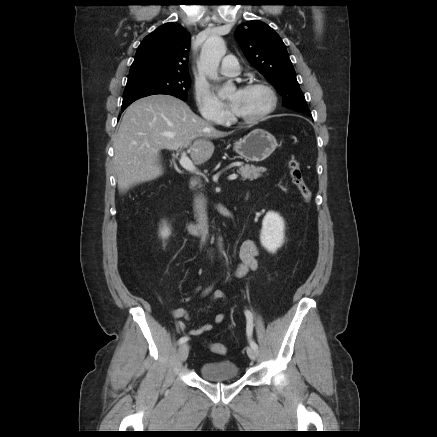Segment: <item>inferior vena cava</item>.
<instances>
[{
  "mask_svg": "<svg viewBox=\"0 0 437 437\" xmlns=\"http://www.w3.org/2000/svg\"><path fill=\"white\" fill-rule=\"evenodd\" d=\"M194 210L197 214V221L200 224V232L202 234V241H205L208 234V221L205 200L202 196H197L194 202Z\"/></svg>",
  "mask_w": 437,
  "mask_h": 437,
  "instance_id": "inferior-vena-cava-1",
  "label": "inferior vena cava"
}]
</instances>
